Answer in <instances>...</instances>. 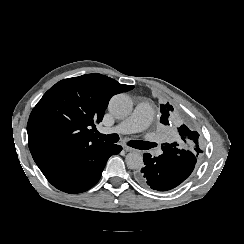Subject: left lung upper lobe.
<instances>
[{
  "label": "left lung upper lobe",
  "instance_id": "1",
  "mask_svg": "<svg viewBox=\"0 0 244 244\" xmlns=\"http://www.w3.org/2000/svg\"><path fill=\"white\" fill-rule=\"evenodd\" d=\"M173 110L174 109L172 105H170L169 103L162 104L160 106V112H161L160 122L163 123L164 125H168ZM178 132L179 135L181 136L182 141H179V143L173 142L171 144L164 143L162 146L185 149L194 152L196 155L202 153L199 147V140H198L199 134L196 131L189 129L185 125H182L181 127L178 128Z\"/></svg>",
  "mask_w": 244,
  "mask_h": 244
}]
</instances>
